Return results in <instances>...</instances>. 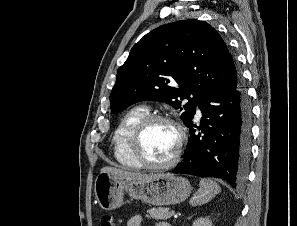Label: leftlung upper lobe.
<instances>
[{
	"instance_id": "1",
	"label": "left lung upper lobe",
	"mask_w": 297,
	"mask_h": 226,
	"mask_svg": "<svg viewBox=\"0 0 297 226\" xmlns=\"http://www.w3.org/2000/svg\"><path fill=\"white\" fill-rule=\"evenodd\" d=\"M240 82L218 32L206 22L182 20L152 30L133 46L117 71L111 111L142 100L161 101L184 110L181 118L187 125L205 90H226Z\"/></svg>"
}]
</instances>
